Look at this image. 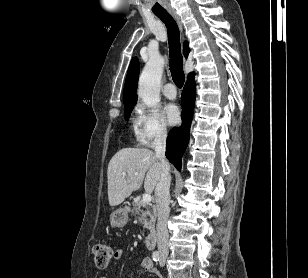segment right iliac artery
I'll return each mask as SVG.
<instances>
[{
	"label": "right iliac artery",
	"instance_id": "1",
	"mask_svg": "<svg viewBox=\"0 0 308 278\" xmlns=\"http://www.w3.org/2000/svg\"><path fill=\"white\" fill-rule=\"evenodd\" d=\"M152 258L154 261H158L160 259V254L158 251H154L152 254Z\"/></svg>",
	"mask_w": 308,
	"mask_h": 278
}]
</instances>
